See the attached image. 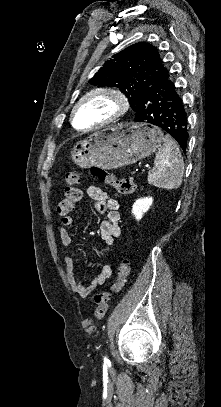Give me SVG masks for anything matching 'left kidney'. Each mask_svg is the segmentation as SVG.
I'll return each mask as SVG.
<instances>
[{
  "mask_svg": "<svg viewBox=\"0 0 221 407\" xmlns=\"http://www.w3.org/2000/svg\"><path fill=\"white\" fill-rule=\"evenodd\" d=\"M152 202V197H146L136 200V202L132 206V214L137 220H140L143 214L148 211V209L152 205Z\"/></svg>",
  "mask_w": 221,
  "mask_h": 407,
  "instance_id": "obj_1",
  "label": "left kidney"
}]
</instances>
